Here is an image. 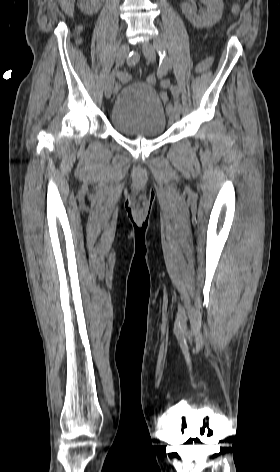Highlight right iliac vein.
<instances>
[{
	"instance_id": "1",
	"label": "right iliac vein",
	"mask_w": 280,
	"mask_h": 472,
	"mask_svg": "<svg viewBox=\"0 0 280 472\" xmlns=\"http://www.w3.org/2000/svg\"><path fill=\"white\" fill-rule=\"evenodd\" d=\"M129 54V45L124 43L120 46L118 53H117V58H116V65L119 67L123 64L125 61L126 57ZM117 70H114L107 78L104 86V92H105V97L108 99L111 97L113 88H114V82H115V74Z\"/></svg>"
}]
</instances>
